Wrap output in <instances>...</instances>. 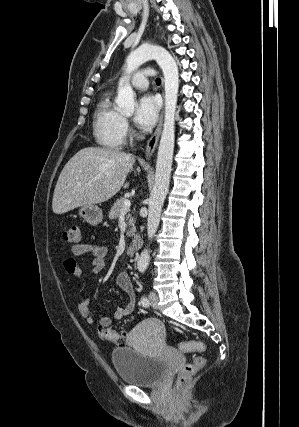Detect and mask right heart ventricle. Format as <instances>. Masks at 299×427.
Segmentation results:
<instances>
[{
  "label": "right heart ventricle",
  "mask_w": 299,
  "mask_h": 427,
  "mask_svg": "<svg viewBox=\"0 0 299 427\" xmlns=\"http://www.w3.org/2000/svg\"><path fill=\"white\" fill-rule=\"evenodd\" d=\"M124 117L114 106L112 92L103 93L94 112L93 134L96 142L108 150L120 149L125 141Z\"/></svg>",
  "instance_id": "1"
}]
</instances>
